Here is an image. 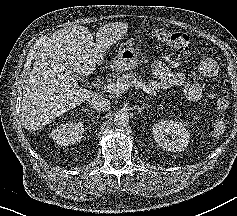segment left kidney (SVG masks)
<instances>
[{"label":"left kidney","mask_w":237,"mask_h":216,"mask_svg":"<svg viewBox=\"0 0 237 216\" xmlns=\"http://www.w3.org/2000/svg\"><path fill=\"white\" fill-rule=\"evenodd\" d=\"M154 140L157 146L169 151H182L188 145L189 133L176 121H162L153 129Z\"/></svg>","instance_id":"5707ae66"}]
</instances>
